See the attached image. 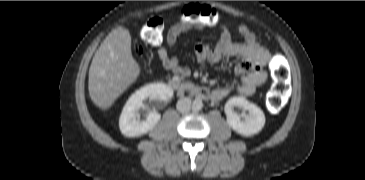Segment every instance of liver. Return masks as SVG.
I'll return each instance as SVG.
<instances>
[{
	"label": "liver",
	"mask_w": 365,
	"mask_h": 180,
	"mask_svg": "<svg viewBox=\"0 0 365 180\" xmlns=\"http://www.w3.org/2000/svg\"><path fill=\"white\" fill-rule=\"evenodd\" d=\"M140 67L132 56L129 30H112L96 51L89 69L88 90L93 103L109 109L134 83Z\"/></svg>",
	"instance_id": "obj_1"
}]
</instances>
